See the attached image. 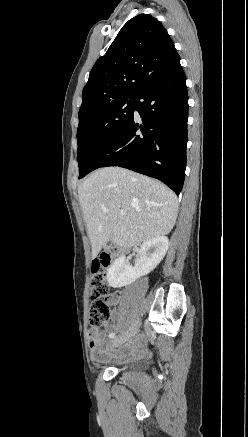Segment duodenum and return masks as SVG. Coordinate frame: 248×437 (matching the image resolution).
I'll list each match as a JSON object with an SVG mask.
<instances>
[{"label":"duodenum","instance_id":"duodenum-1","mask_svg":"<svg viewBox=\"0 0 248 437\" xmlns=\"http://www.w3.org/2000/svg\"><path fill=\"white\" fill-rule=\"evenodd\" d=\"M105 258L110 263L112 261V259L115 258V254L114 253H111V254L106 253Z\"/></svg>","mask_w":248,"mask_h":437}]
</instances>
